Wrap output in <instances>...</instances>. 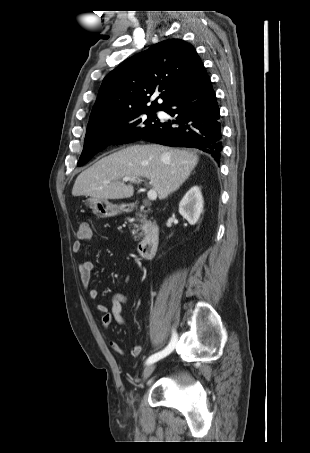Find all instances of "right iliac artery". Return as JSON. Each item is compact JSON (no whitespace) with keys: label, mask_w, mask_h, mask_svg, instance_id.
Listing matches in <instances>:
<instances>
[{"label":"right iliac artery","mask_w":310,"mask_h":453,"mask_svg":"<svg viewBox=\"0 0 310 453\" xmlns=\"http://www.w3.org/2000/svg\"><path fill=\"white\" fill-rule=\"evenodd\" d=\"M176 341H177V334L174 332L173 335H172L171 341L168 344V346L165 349H163L162 351H159V352H157L155 354H152L146 360V364L147 365L152 364V363L160 360L161 358H164L167 355H169L173 351Z\"/></svg>","instance_id":"82829eb1"}]
</instances>
